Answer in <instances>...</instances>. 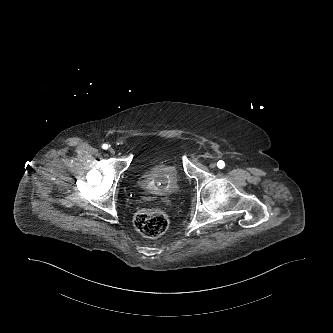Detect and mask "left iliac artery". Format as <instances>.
<instances>
[{"label":"left iliac artery","mask_w":333,"mask_h":333,"mask_svg":"<svg viewBox=\"0 0 333 333\" xmlns=\"http://www.w3.org/2000/svg\"><path fill=\"white\" fill-rule=\"evenodd\" d=\"M217 166H218L219 169H223L225 167V162L222 161V160H219L217 162Z\"/></svg>","instance_id":"obj_1"}]
</instances>
